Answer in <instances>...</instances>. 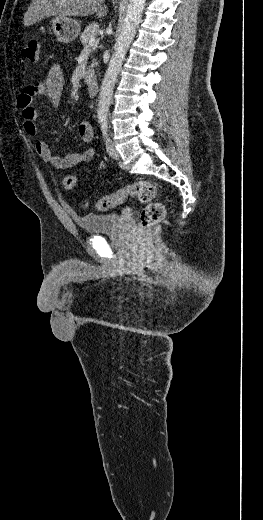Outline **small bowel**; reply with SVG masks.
<instances>
[{"mask_svg":"<svg viewBox=\"0 0 263 520\" xmlns=\"http://www.w3.org/2000/svg\"><path fill=\"white\" fill-rule=\"evenodd\" d=\"M64 89V76L59 65H54L50 69L47 77L38 83L26 86L18 96V106L23 117L24 131L35 137L37 135L38 113L33 105L36 96H46L52 102H58ZM78 133L81 140L90 143L93 140V127L89 121H83L78 126ZM35 150L38 156L57 169L72 168L80 163L93 160L95 151L88 148L83 152L71 153L66 156L53 155L48 144L37 138L35 140Z\"/></svg>","mask_w":263,"mask_h":520,"instance_id":"obj_1","label":"small bowel"}]
</instances>
